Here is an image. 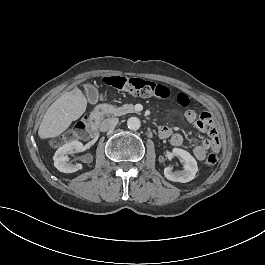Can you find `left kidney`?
Instances as JSON below:
<instances>
[{"instance_id": "1", "label": "left kidney", "mask_w": 265, "mask_h": 265, "mask_svg": "<svg viewBox=\"0 0 265 265\" xmlns=\"http://www.w3.org/2000/svg\"><path fill=\"white\" fill-rule=\"evenodd\" d=\"M172 154L174 156H179L184 161V170L173 172L170 167L164 169V175L168 180L174 182L186 183L195 178L198 171V166L195 158L186 150L180 148H173Z\"/></svg>"}]
</instances>
